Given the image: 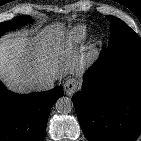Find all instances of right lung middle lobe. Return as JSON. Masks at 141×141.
<instances>
[{"instance_id": "1", "label": "right lung middle lobe", "mask_w": 141, "mask_h": 141, "mask_svg": "<svg viewBox=\"0 0 141 141\" xmlns=\"http://www.w3.org/2000/svg\"><path fill=\"white\" fill-rule=\"evenodd\" d=\"M29 21H30V16H21L12 19V21H6L4 23H0V36L8 30L16 29L27 24Z\"/></svg>"}]
</instances>
